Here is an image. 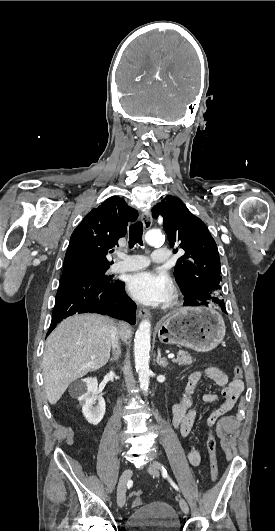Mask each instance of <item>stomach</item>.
Returning a JSON list of instances; mask_svg holds the SVG:
<instances>
[{"instance_id": "1", "label": "stomach", "mask_w": 275, "mask_h": 531, "mask_svg": "<svg viewBox=\"0 0 275 531\" xmlns=\"http://www.w3.org/2000/svg\"><path fill=\"white\" fill-rule=\"evenodd\" d=\"M158 337L164 345H180L197 353H208L222 343L226 327L217 311L210 307L178 309L170 317H163L157 325Z\"/></svg>"}]
</instances>
